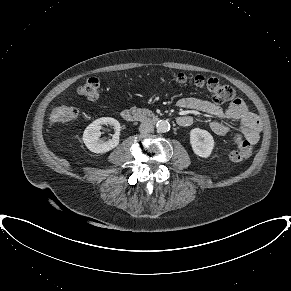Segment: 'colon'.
Listing matches in <instances>:
<instances>
[{
	"mask_svg": "<svg viewBox=\"0 0 291 291\" xmlns=\"http://www.w3.org/2000/svg\"><path fill=\"white\" fill-rule=\"evenodd\" d=\"M170 80L180 85L189 84L195 87L205 88L216 104L229 102L235 97V92L231 86L222 83L214 77H205L202 75L190 77L183 73H178L171 76ZM99 88V80L97 78H89L78 86L77 94L89 101H95L99 98ZM77 116L78 111L75 108L62 105L53 109L50 119L54 123L65 124L73 121ZM251 155V143L240 135L235 136L234 148L231 150L229 158L232 161L239 162L249 158Z\"/></svg>",
	"mask_w": 291,
	"mask_h": 291,
	"instance_id": "5ec220e1",
	"label": "colon"
}]
</instances>
